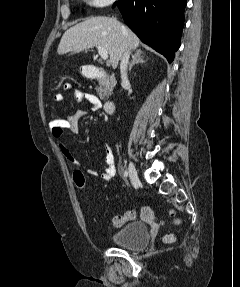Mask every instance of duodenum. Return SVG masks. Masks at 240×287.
I'll return each instance as SVG.
<instances>
[{"label":"duodenum","instance_id":"410a0bca","mask_svg":"<svg viewBox=\"0 0 240 287\" xmlns=\"http://www.w3.org/2000/svg\"><path fill=\"white\" fill-rule=\"evenodd\" d=\"M84 74L88 79H98L106 75V71L95 65L86 64L84 66ZM115 109V102L112 100H107L104 102V110L108 114H112Z\"/></svg>","mask_w":240,"mask_h":287}]
</instances>
